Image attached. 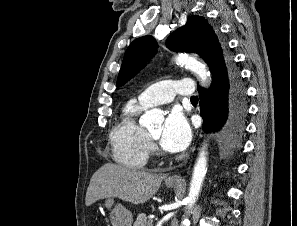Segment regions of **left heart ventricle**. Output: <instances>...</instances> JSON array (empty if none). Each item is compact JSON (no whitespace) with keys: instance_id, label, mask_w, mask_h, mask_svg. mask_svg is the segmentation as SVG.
Here are the masks:
<instances>
[{"instance_id":"obj_1","label":"left heart ventricle","mask_w":297,"mask_h":226,"mask_svg":"<svg viewBox=\"0 0 297 226\" xmlns=\"http://www.w3.org/2000/svg\"><path fill=\"white\" fill-rule=\"evenodd\" d=\"M161 133V128H156L150 131V134L154 137V138H158L159 135Z\"/></svg>"}]
</instances>
